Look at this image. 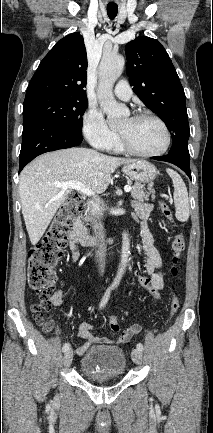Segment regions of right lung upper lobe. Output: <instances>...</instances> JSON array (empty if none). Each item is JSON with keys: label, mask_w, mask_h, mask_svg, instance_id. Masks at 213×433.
<instances>
[{"label": "right lung upper lobe", "mask_w": 213, "mask_h": 433, "mask_svg": "<svg viewBox=\"0 0 213 433\" xmlns=\"http://www.w3.org/2000/svg\"><path fill=\"white\" fill-rule=\"evenodd\" d=\"M87 54L83 37L75 32L59 40L30 80L26 97L49 94L85 98Z\"/></svg>", "instance_id": "obj_1"}]
</instances>
